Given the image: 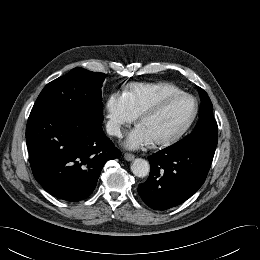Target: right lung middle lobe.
Segmentation results:
<instances>
[{
  "mask_svg": "<svg viewBox=\"0 0 260 260\" xmlns=\"http://www.w3.org/2000/svg\"><path fill=\"white\" fill-rule=\"evenodd\" d=\"M105 74L74 68L49 84L39 94L31 113L75 112L103 120L101 97Z\"/></svg>",
  "mask_w": 260,
  "mask_h": 260,
  "instance_id": "right-lung-middle-lobe-1",
  "label": "right lung middle lobe"
}]
</instances>
